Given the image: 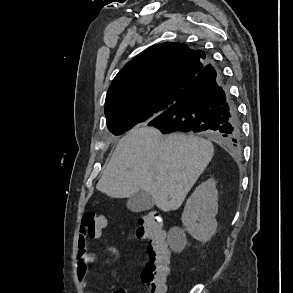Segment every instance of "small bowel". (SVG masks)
I'll list each match as a JSON object with an SVG mask.
<instances>
[{"mask_svg": "<svg viewBox=\"0 0 293 293\" xmlns=\"http://www.w3.org/2000/svg\"><path fill=\"white\" fill-rule=\"evenodd\" d=\"M105 251L114 255L117 258L121 257L122 255L121 250L113 245H107L105 247ZM96 259H97L96 255L88 250L87 237L83 229H81L77 238L76 264H77L78 279L81 286L84 288L88 287V281H87L88 267L90 264L94 263ZM86 293H94V292L87 291ZM113 293H128V291L125 289H117Z\"/></svg>", "mask_w": 293, "mask_h": 293, "instance_id": "obj_1", "label": "small bowel"}]
</instances>
